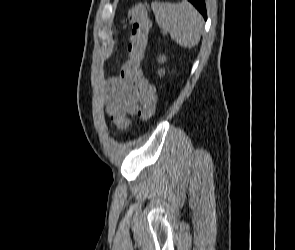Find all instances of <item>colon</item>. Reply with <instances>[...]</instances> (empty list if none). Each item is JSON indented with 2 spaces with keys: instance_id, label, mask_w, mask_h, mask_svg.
<instances>
[{
  "instance_id": "5ec220e1",
  "label": "colon",
  "mask_w": 295,
  "mask_h": 250,
  "mask_svg": "<svg viewBox=\"0 0 295 250\" xmlns=\"http://www.w3.org/2000/svg\"><path fill=\"white\" fill-rule=\"evenodd\" d=\"M128 21L132 26L128 46V59L121 68V77L130 82L141 99L142 117L147 120L155 112L157 95L154 86L144 76L141 63L149 42L151 23L145 8L135 4L128 11Z\"/></svg>"
}]
</instances>
